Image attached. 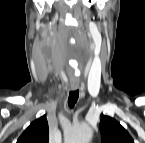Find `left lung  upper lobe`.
<instances>
[{
  "label": "left lung upper lobe",
  "mask_w": 145,
  "mask_h": 143,
  "mask_svg": "<svg viewBox=\"0 0 145 143\" xmlns=\"http://www.w3.org/2000/svg\"><path fill=\"white\" fill-rule=\"evenodd\" d=\"M102 143H134L129 133L115 119L102 115L100 121Z\"/></svg>",
  "instance_id": "left-lung-upper-lobe-1"
}]
</instances>
